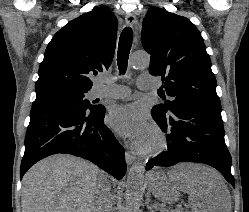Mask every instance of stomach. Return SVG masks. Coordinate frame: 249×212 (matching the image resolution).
Wrapping results in <instances>:
<instances>
[{"instance_id":"obj_1","label":"stomach","mask_w":249,"mask_h":212,"mask_svg":"<svg viewBox=\"0 0 249 212\" xmlns=\"http://www.w3.org/2000/svg\"><path fill=\"white\" fill-rule=\"evenodd\" d=\"M157 174L158 175H149V193H159V198H176V193H178V184H169L168 176L163 175V170H158Z\"/></svg>"}]
</instances>
